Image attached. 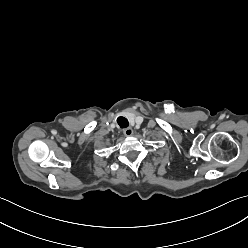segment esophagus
I'll use <instances>...</instances> for the list:
<instances>
[{
    "instance_id": "esophagus-1",
    "label": "esophagus",
    "mask_w": 248,
    "mask_h": 248,
    "mask_svg": "<svg viewBox=\"0 0 248 248\" xmlns=\"http://www.w3.org/2000/svg\"><path fill=\"white\" fill-rule=\"evenodd\" d=\"M125 136H132L133 135V129L132 128H126L123 131Z\"/></svg>"
}]
</instances>
